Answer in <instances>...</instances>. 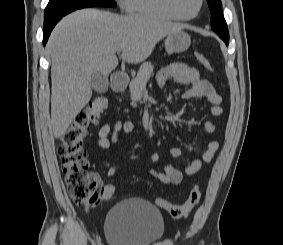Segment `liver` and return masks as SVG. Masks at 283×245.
<instances>
[{"instance_id": "liver-1", "label": "liver", "mask_w": 283, "mask_h": 245, "mask_svg": "<svg viewBox=\"0 0 283 245\" xmlns=\"http://www.w3.org/2000/svg\"><path fill=\"white\" fill-rule=\"evenodd\" d=\"M183 25L139 15L120 16L87 8L64 17L52 31L47 50L51 57V125L55 138L67 128L92 96L89 79L99 71L109 75L120 59L140 63L166 35Z\"/></svg>"}]
</instances>
